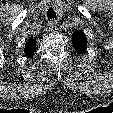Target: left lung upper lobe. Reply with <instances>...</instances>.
<instances>
[{"label": "left lung upper lobe", "mask_w": 113, "mask_h": 113, "mask_svg": "<svg viewBox=\"0 0 113 113\" xmlns=\"http://www.w3.org/2000/svg\"><path fill=\"white\" fill-rule=\"evenodd\" d=\"M72 44L78 53L83 54L87 48V39L84 32H74L72 35Z\"/></svg>", "instance_id": "5c2ea615"}]
</instances>
